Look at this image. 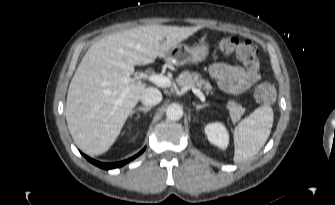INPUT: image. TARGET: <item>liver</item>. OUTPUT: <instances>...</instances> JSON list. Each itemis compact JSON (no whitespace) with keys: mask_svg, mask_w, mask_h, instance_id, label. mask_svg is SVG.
<instances>
[{"mask_svg":"<svg viewBox=\"0 0 335 205\" xmlns=\"http://www.w3.org/2000/svg\"><path fill=\"white\" fill-rule=\"evenodd\" d=\"M199 27L149 25L110 34L82 58L69 85L65 116L75 144L88 155L109 150L146 84L125 83L135 65L153 63Z\"/></svg>","mask_w":335,"mask_h":205,"instance_id":"liver-1","label":"liver"}]
</instances>
